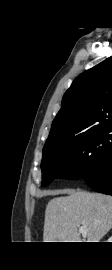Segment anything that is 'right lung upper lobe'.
Instances as JSON below:
<instances>
[{
  "mask_svg": "<svg viewBox=\"0 0 112 270\" xmlns=\"http://www.w3.org/2000/svg\"><path fill=\"white\" fill-rule=\"evenodd\" d=\"M112 125V56L75 78L43 149Z\"/></svg>",
  "mask_w": 112,
  "mask_h": 270,
  "instance_id": "1",
  "label": "right lung upper lobe"
}]
</instances>
